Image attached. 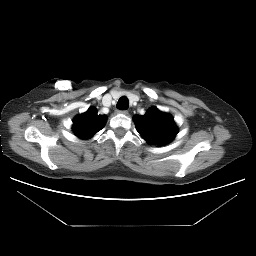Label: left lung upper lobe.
<instances>
[{"mask_svg":"<svg viewBox=\"0 0 256 256\" xmlns=\"http://www.w3.org/2000/svg\"><path fill=\"white\" fill-rule=\"evenodd\" d=\"M137 131L151 145H165L177 134V127L171 115L151 107L145 115L133 118Z\"/></svg>","mask_w":256,"mask_h":256,"instance_id":"5c2ea615","label":"left lung upper lobe"}]
</instances>
